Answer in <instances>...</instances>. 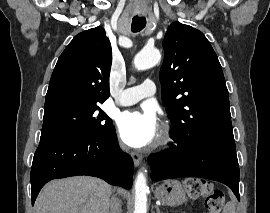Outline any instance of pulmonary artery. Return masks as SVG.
Returning a JSON list of instances; mask_svg holds the SVG:
<instances>
[{
    "mask_svg": "<svg viewBox=\"0 0 270 213\" xmlns=\"http://www.w3.org/2000/svg\"><path fill=\"white\" fill-rule=\"evenodd\" d=\"M157 85L152 80H145L141 85L127 88L122 91L119 104L122 106H129L135 104L143 99L153 96L156 93Z\"/></svg>",
    "mask_w": 270,
    "mask_h": 213,
    "instance_id": "e3ab8cb5",
    "label": "pulmonary artery"
}]
</instances>
